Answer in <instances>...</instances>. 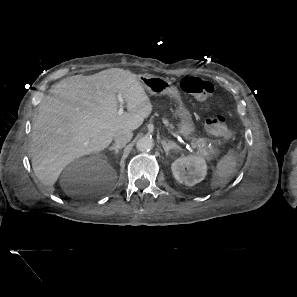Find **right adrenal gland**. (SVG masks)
<instances>
[{"mask_svg": "<svg viewBox=\"0 0 297 297\" xmlns=\"http://www.w3.org/2000/svg\"><path fill=\"white\" fill-rule=\"evenodd\" d=\"M120 148H122V147L117 146L116 144H113L112 146H110V147L108 148V150H114V151H115V154L117 155L118 152H119V149H120Z\"/></svg>", "mask_w": 297, "mask_h": 297, "instance_id": "1", "label": "right adrenal gland"}]
</instances>
